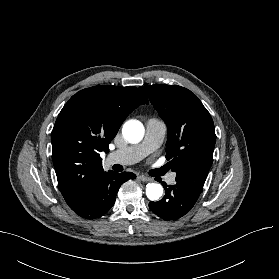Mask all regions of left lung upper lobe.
Segmentation results:
<instances>
[{"mask_svg":"<svg viewBox=\"0 0 279 279\" xmlns=\"http://www.w3.org/2000/svg\"><path fill=\"white\" fill-rule=\"evenodd\" d=\"M167 125L166 157L176 181L202 191L213 161L214 123L202 102L178 85L141 86Z\"/></svg>","mask_w":279,"mask_h":279,"instance_id":"1","label":"left lung upper lobe"}]
</instances>
